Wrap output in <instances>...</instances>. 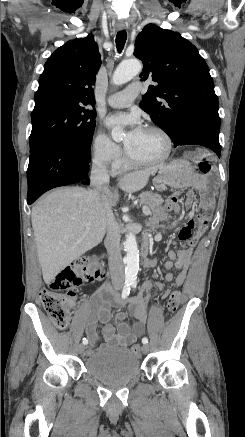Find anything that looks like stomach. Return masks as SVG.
I'll return each instance as SVG.
<instances>
[{
  "mask_svg": "<svg viewBox=\"0 0 245 437\" xmlns=\"http://www.w3.org/2000/svg\"><path fill=\"white\" fill-rule=\"evenodd\" d=\"M193 179L191 164L183 159H177L160 168L158 175L153 179L157 190L163 191L170 186L181 189L189 186Z\"/></svg>",
  "mask_w": 245,
  "mask_h": 437,
  "instance_id": "stomach-1",
  "label": "stomach"
}]
</instances>
